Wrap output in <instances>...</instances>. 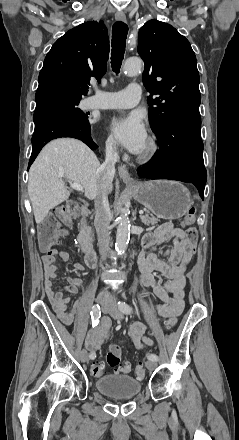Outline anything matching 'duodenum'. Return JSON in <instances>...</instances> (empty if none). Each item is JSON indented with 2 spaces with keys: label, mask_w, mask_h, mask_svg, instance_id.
<instances>
[{
  "label": "duodenum",
  "mask_w": 239,
  "mask_h": 440,
  "mask_svg": "<svg viewBox=\"0 0 239 440\" xmlns=\"http://www.w3.org/2000/svg\"><path fill=\"white\" fill-rule=\"evenodd\" d=\"M89 214V207L86 205L82 206L80 209L81 219L79 225L78 243L80 249L84 253L86 265L88 267H94L96 264V253L92 243V232L86 222V218L89 216Z\"/></svg>",
  "instance_id": "1"
}]
</instances>
